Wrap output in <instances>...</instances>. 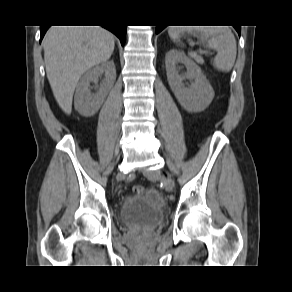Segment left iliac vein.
Listing matches in <instances>:
<instances>
[{"mask_svg": "<svg viewBox=\"0 0 292 292\" xmlns=\"http://www.w3.org/2000/svg\"><path fill=\"white\" fill-rule=\"evenodd\" d=\"M144 175L150 180L161 179L163 184H164L165 190L167 192H172L173 191L174 181L170 176L162 175L159 170L144 171Z\"/></svg>", "mask_w": 292, "mask_h": 292, "instance_id": "left-iliac-vein-1", "label": "left iliac vein"}]
</instances>
